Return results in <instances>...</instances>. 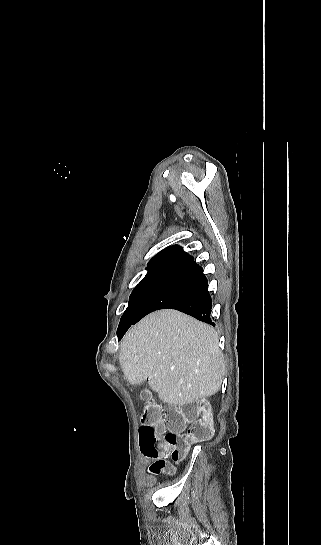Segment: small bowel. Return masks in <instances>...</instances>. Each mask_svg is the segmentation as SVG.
I'll return each mask as SVG.
<instances>
[{
	"label": "small bowel",
	"instance_id": "obj_1",
	"mask_svg": "<svg viewBox=\"0 0 321 545\" xmlns=\"http://www.w3.org/2000/svg\"><path fill=\"white\" fill-rule=\"evenodd\" d=\"M160 461H163V459H162V458H158V459H156V460L152 463V465H151V467H150L151 472H153V473H157V472H158V471H157V470H158V469H157V463L160 462Z\"/></svg>",
	"mask_w": 321,
	"mask_h": 545
}]
</instances>
